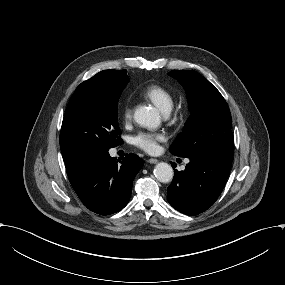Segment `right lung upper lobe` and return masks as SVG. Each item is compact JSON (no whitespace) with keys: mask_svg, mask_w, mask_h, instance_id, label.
I'll return each mask as SVG.
<instances>
[{"mask_svg":"<svg viewBox=\"0 0 285 285\" xmlns=\"http://www.w3.org/2000/svg\"><path fill=\"white\" fill-rule=\"evenodd\" d=\"M107 71H109V72H119L120 70H107ZM101 74H103V73H99L98 75H101Z\"/></svg>","mask_w":285,"mask_h":285,"instance_id":"obj_1","label":"right lung upper lobe"}]
</instances>
